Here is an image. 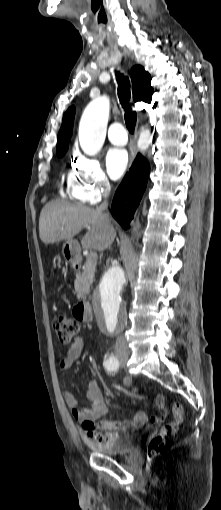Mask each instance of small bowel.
<instances>
[{
    "instance_id": "c3829d8e",
    "label": "small bowel",
    "mask_w": 221,
    "mask_h": 510,
    "mask_svg": "<svg viewBox=\"0 0 221 510\" xmlns=\"http://www.w3.org/2000/svg\"><path fill=\"white\" fill-rule=\"evenodd\" d=\"M84 345V340L77 337L67 347L63 358L59 362V368L62 371H68L72 368L75 361L82 355ZM85 393L91 401V405L85 408L79 407L77 399L69 390L63 391V398L70 408L73 418L83 425L86 436L98 440L97 436L101 434L103 436L101 442L114 441L122 435L146 425L148 422L162 421L160 415L166 416L168 413L164 396L157 394L155 395L156 412L154 415L150 416L147 412L141 410L134 415L133 419L125 422L100 420L107 413V405L102 392L94 381H90Z\"/></svg>"
}]
</instances>
